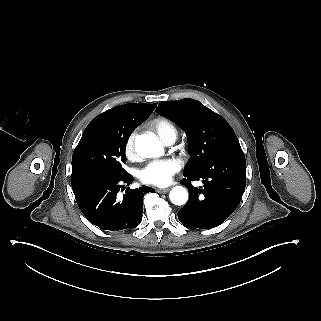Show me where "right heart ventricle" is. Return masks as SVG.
<instances>
[{
    "label": "right heart ventricle",
    "mask_w": 321,
    "mask_h": 321,
    "mask_svg": "<svg viewBox=\"0 0 321 321\" xmlns=\"http://www.w3.org/2000/svg\"><path fill=\"white\" fill-rule=\"evenodd\" d=\"M150 126L165 141L168 137H177L178 128L173 121L163 116H154L150 119Z\"/></svg>",
    "instance_id": "1"
}]
</instances>
